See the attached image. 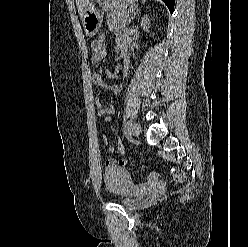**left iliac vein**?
<instances>
[{"label":"left iliac vein","instance_id":"left-iliac-vein-1","mask_svg":"<svg viewBox=\"0 0 248 247\" xmlns=\"http://www.w3.org/2000/svg\"><path fill=\"white\" fill-rule=\"evenodd\" d=\"M132 132L135 137H138L141 133V126L138 123H134L132 126Z\"/></svg>","mask_w":248,"mask_h":247}]
</instances>
